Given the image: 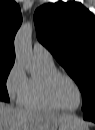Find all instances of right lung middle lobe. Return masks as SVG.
<instances>
[{
	"label": "right lung middle lobe",
	"mask_w": 95,
	"mask_h": 130,
	"mask_svg": "<svg viewBox=\"0 0 95 130\" xmlns=\"http://www.w3.org/2000/svg\"><path fill=\"white\" fill-rule=\"evenodd\" d=\"M14 63H0V100L9 101L6 80Z\"/></svg>",
	"instance_id": "1"
}]
</instances>
